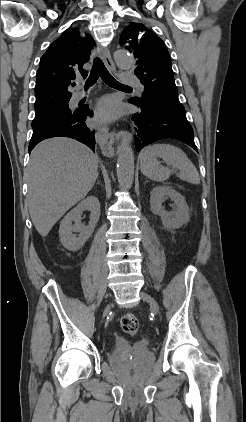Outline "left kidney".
<instances>
[{"instance_id": "1", "label": "left kidney", "mask_w": 246, "mask_h": 422, "mask_svg": "<svg viewBox=\"0 0 246 422\" xmlns=\"http://www.w3.org/2000/svg\"><path fill=\"white\" fill-rule=\"evenodd\" d=\"M165 198H170L176 205L175 210L167 212L162 203ZM150 207L153 214L159 215L162 224L167 230L180 228L190 220L189 207L185 198L169 186H156L150 193Z\"/></svg>"}]
</instances>
